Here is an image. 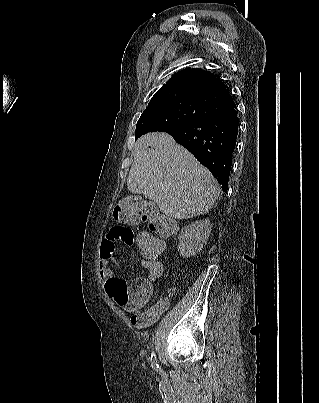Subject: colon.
<instances>
[{"label":"colon","mask_w":319,"mask_h":403,"mask_svg":"<svg viewBox=\"0 0 319 403\" xmlns=\"http://www.w3.org/2000/svg\"><path fill=\"white\" fill-rule=\"evenodd\" d=\"M139 192H130L128 197H120L114 208V218L127 223H146L149 229H136L134 243L139 249V258H162L167 251L166 240L177 230L169 217L151 208L150 201H139Z\"/></svg>","instance_id":"1"}]
</instances>
